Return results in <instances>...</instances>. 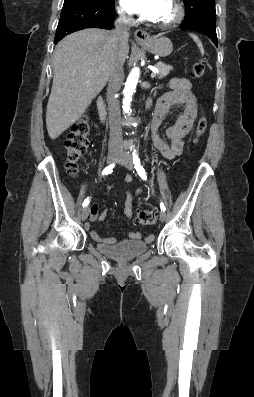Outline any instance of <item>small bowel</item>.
Instances as JSON below:
<instances>
[{
    "label": "small bowel",
    "mask_w": 254,
    "mask_h": 397,
    "mask_svg": "<svg viewBox=\"0 0 254 397\" xmlns=\"http://www.w3.org/2000/svg\"><path fill=\"white\" fill-rule=\"evenodd\" d=\"M170 91L161 96L155 107L154 115L151 122L152 140L153 144L166 159H174L181 155L183 152L184 139L192 129L193 123L197 117V100L192 92L191 82L184 78H174L168 83ZM184 105L185 109L182 115L177 119L175 124L166 128V136L170 139L171 143L168 144L158 135V129L168 113L169 109L173 105ZM132 181L131 175H126L125 182L130 183ZM142 192L139 188L135 196H138ZM132 201L133 195L130 190L126 191L125 201V214L128 217L133 216L132 212ZM105 217V213H99L98 206L93 204L90 208V222H101ZM85 229L89 232L91 238L104 244H112L116 242L113 237H104L94 231L90 223L85 225ZM128 237L131 240H139L141 238L140 233L130 232ZM152 237H149L151 239Z\"/></svg>",
    "instance_id": "small-bowel-1"
}]
</instances>
